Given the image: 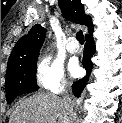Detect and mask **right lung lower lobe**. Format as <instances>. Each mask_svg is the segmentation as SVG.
Returning <instances> with one entry per match:
<instances>
[{"mask_svg": "<svg viewBox=\"0 0 122 123\" xmlns=\"http://www.w3.org/2000/svg\"><path fill=\"white\" fill-rule=\"evenodd\" d=\"M92 32H93V30L89 32L90 35H86V37H85L86 38V44H85V48H84L83 61H82V64L87 71V75L83 79L76 81L72 86L73 93L76 97H79L81 92L85 88V86L88 82V79H89V75H90L91 70H92L91 57L95 53V43H94V40L91 36Z\"/></svg>", "mask_w": 122, "mask_h": 123, "instance_id": "right-lung-lower-lobe-1", "label": "right lung lower lobe"}]
</instances>
